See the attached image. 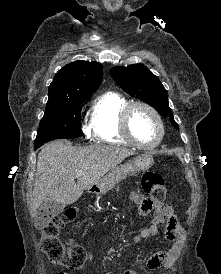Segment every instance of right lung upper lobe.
Segmentation results:
<instances>
[{
	"label": "right lung upper lobe",
	"mask_w": 221,
	"mask_h": 274,
	"mask_svg": "<svg viewBox=\"0 0 221 274\" xmlns=\"http://www.w3.org/2000/svg\"><path fill=\"white\" fill-rule=\"evenodd\" d=\"M102 65L78 60L59 70L49 86L48 101H61L91 95L101 84Z\"/></svg>",
	"instance_id": "obj_1"
}]
</instances>
